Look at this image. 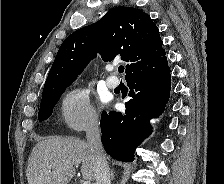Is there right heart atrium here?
<instances>
[{
  "label": "right heart atrium",
  "mask_w": 224,
  "mask_h": 184,
  "mask_svg": "<svg viewBox=\"0 0 224 184\" xmlns=\"http://www.w3.org/2000/svg\"><path fill=\"white\" fill-rule=\"evenodd\" d=\"M61 116L68 127L77 131L95 127L99 122L88 92L83 88L72 89L63 97Z\"/></svg>",
  "instance_id": "right-heart-atrium-1"
}]
</instances>
